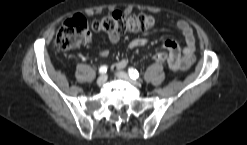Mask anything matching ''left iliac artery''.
Listing matches in <instances>:
<instances>
[{"label": "left iliac artery", "mask_w": 247, "mask_h": 145, "mask_svg": "<svg viewBox=\"0 0 247 145\" xmlns=\"http://www.w3.org/2000/svg\"><path fill=\"white\" fill-rule=\"evenodd\" d=\"M128 73H129V75H130V77H131L132 79H137V78H139V73H138V71H137L136 69H134V68H129V69H128Z\"/></svg>", "instance_id": "obj_1"}]
</instances>
